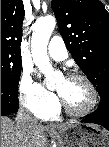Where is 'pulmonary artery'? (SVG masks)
<instances>
[{
	"label": "pulmonary artery",
	"mask_w": 109,
	"mask_h": 147,
	"mask_svg": "<svg viewBox=\"0 0 109 147\" xmlns=\"http://www.w3.org/2000/svg\"><path fill=\"white\" fill-rule=\"evenodd\" d=\"M48 54L55 61H64L68 58V50L61 36H53L48 45ZM45 120L43 116L39 117Z\"/></svg>",
	"instance_id": "e3ab8cb5"
}]
</instances>
